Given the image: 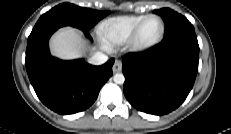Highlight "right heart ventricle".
<instances>
[{"mask_svg":"<svg viewBox=\"0 0 231 134\" xmlns=\"http://www.w3.org/2000/svg\"><path fill=\"white\" fill-rule=\"evenodd\" d=\"M146 15L116 16L104 20L98 26V35L104 45L119 46L128 41L139 22Z\"/></svg>","mask_w":231,"mask_h":134,"instance_id":"right-heart-ventricle-1","label":"right heart ventricle"}]
</instances>
